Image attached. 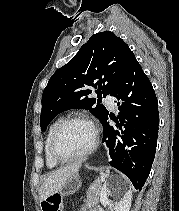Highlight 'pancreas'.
Returning a JSON list of instances; mask_svg holds the SVG:
<instances>
[{
    "label": "pancreas",
    "instance_id": "obj_1",
    "mask_svg": "<svg viewBox=\"0 0 179 211\" xmlns=\"http://www.w3.org/2000/svg\"><path fill=\"white\" fill-rule=\"evenodd\" d=\"M100 190H101V180H96L89 186L88 191L86 192L87 198L84 201L82 211H87L98 203Z\"/></svg>",
    "mask_w": 179,
    "mask_h": 211
}]
</instances>
